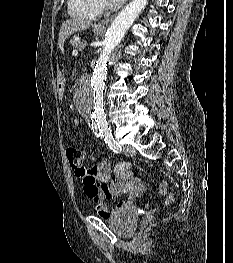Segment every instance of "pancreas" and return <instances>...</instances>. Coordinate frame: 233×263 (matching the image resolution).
I'll list each match as a JSON object with an SVG mask.
<instances>
[{
	"instance_id": "1",
	"label": "pancreas",
	"mask_w": 233,
	"mask_h": 263,
	"mask_svg": "<svg viewBox=\"0 0 233 263\" xmlns=\"http://www.w3.org/2000/svg\"><path fill=\"white\" fill-rule=\"evenodd\" d=\"M72 46L73 48H82L86 45V42L83 40H78V41H72Z\"/></svg>"
}]
</instances>
